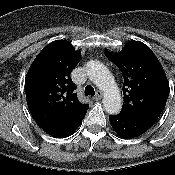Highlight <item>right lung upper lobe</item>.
<instances>
[{
	"mask_svg": "<svg viewBox=\"0 0 175 175\" xmlns=\"http://www.w3.org/2000/svg\"><path fill=\"white\" fill-rule=\"evenodd\" d=\"M81 54L65 40L49 43L37 55L25 78L30 113L42 129L73 123L85 116L89 105L82 104L70 74Z\"/></svg>",
	"mask_w": 175,
	"mask_h": 175,
	"instance_id": "1",
	"label": "right lung upper lobe"
}]
</instances>
